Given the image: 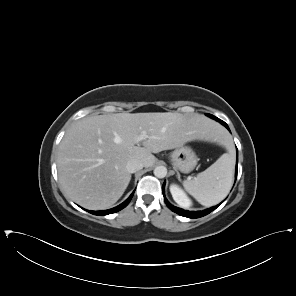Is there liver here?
I'll list each match as a JSON object with an SVG mask.
<instances>
[{
	"mask_svg": "<svg viewBox=\"0 0 296 296\" xmlns=\"http://www.w3.org/2000/svg\"><path fill=\"white\" fill-rule=\"evenodd\" d=\"M145 132L147 138L136 139ZM217 125L197 113H117L88 116L75 122L63 137L57 168L61 190L89 210L115 204L131 173L128 161L152 166V153L174 149L193 140H215Z\"/></svg>",
	"mask_w": 296,
	"mask_h": 296,
	"instance_id": "obj_1",
	"label": "liver"
}]
</instances>
